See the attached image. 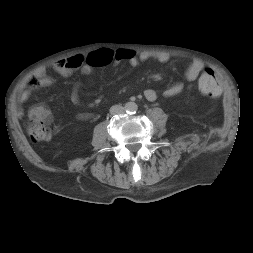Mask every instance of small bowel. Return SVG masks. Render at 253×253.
I'll list each match as a JSON object with an SVG mask.
<instances>
[{"label":"small bowel","instance_id":"1","mask_svg":"<svg viewBox=\"0 0 253 253\" xmlns=\"http://www.w3.org/2000/svg\"><path fill=\"white\" fill-rule=\"evenodd\" d=\"M151 60L157 61L159 63H167L169 61V56L166 54H153L149 52H143L137 55L134 51L123 49H100L91 52L86 56L77 55L66 60H61L56 63L55 70L59 75L66 78L71 77L76 72H80L85 76H90L99 68L121 61H127L131 67L137 68L141 63L148 62ZM203 67V63L200 60H192L183 72L185 80L188 82L195 81L203 70ZM39 75H44V70H40ZM80 88V83L75 84L73 87L71 93V102L74 105L79 104ZM183 89L184 84L178 82L163 90L162 95L165 97H172L181 93ZM157 96L158 94L154 89L149 88L144 91V97L148 101H155L157 99ZM30 115L45 123H50L52 121V114L45 107H34L33 109H31ZM92 117V114L86 112H81L77 114V118L80 120H88Z\"/></svg>","mask_w":253,"mask_h":253}]
</instances>
